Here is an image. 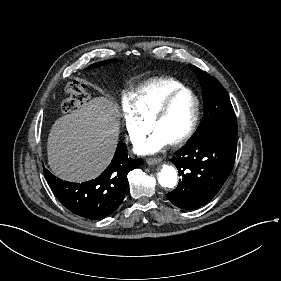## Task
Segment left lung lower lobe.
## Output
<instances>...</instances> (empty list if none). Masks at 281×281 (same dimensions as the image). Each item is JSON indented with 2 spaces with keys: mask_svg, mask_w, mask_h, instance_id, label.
<instances>
[{
  "mask_svg": "<svg viewBox=\"0 0 281 281\" xmlns=\"http://www.w3.org/2000/svg\"><path fill=\"white\" fill-rule=\"evenodd\" d=\"M237 138L207 131L191 138L172 162L182 180L167 198L182 209H195L209 202L227 180L235 161Z\"/></svg>",
  "mask_w": 281,
  "mask_h": 281,
  "instance_id": "obj_1",
  "label": "left lung lower lobe"
}]
</instances>
